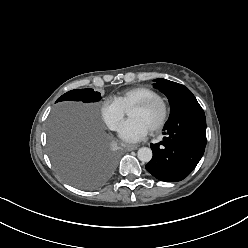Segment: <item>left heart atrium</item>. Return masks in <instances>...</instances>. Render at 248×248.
<instances>
[{
	"label": "left heart atrium",
	"mask_w": 248,
	"mask_h": 248,
	"mask_svg": "<svg viewBox=\"0 0 248 248\" xmlns=\"http://www.w3.org/2000/svg\"><path fill=\"white\" fill-rule=\"evenodd\" d=\"M147 126L138 119H129L119 129V136L126 142L142 140L148 133Z\"/></svg>",
	"instance_id": "left-heart-atrium-1"
}]
</instances>
